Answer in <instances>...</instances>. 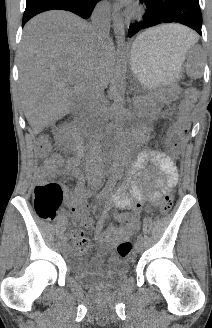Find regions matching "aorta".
<instances>
[{
	"mask_svg": "<svg viewBox=\"0 0 212 328\" xmlns=\"http://www.w3.org/2000/svg\"><path fill=\"white\" fill-rule=\"evenodd\" d=\"M118 58L116 62L115 75L113 79L114 91V115L116 124V140L119 146L124 141V120H125V89H126V60L124 55L125 50V30L119 32L117 39ZM123 157L120 149L113 154V167L111 168V180H121L125 175V170L122 167Z\"/></svg>",
	"mask_w": 212,
	"mask_h": 328,
	"instance_id": "1",
	"label": "aorta"
}]
</instances>
